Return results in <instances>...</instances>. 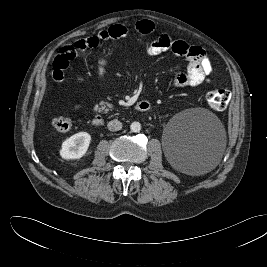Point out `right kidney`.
<instances>
[{"instance_id": "ca27d5eb", "label": "right kidney", "mask_w": 267, "mask_h": 267, "mask_svg": "<svg viewBox=\"0 0 267 267\" xmlns=\"http://www.w3.org/2000/svg\"><path fill=\"white\" fill-rule=\"evenodd\" d=\"M91 136L87 132H79L62 143L60 156L66 160L80 159L83 157L89 147Z\"/></svg>"}]
</instances>
